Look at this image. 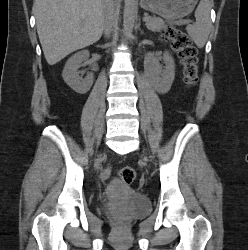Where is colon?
Instances as JSON below:
<instances>
[{"label":"colon","mask_w":248,"mask_h":250,"mask_svg":"<svg viewBox=\"0 0 248 250\" xmlns=\"http://www.w3.org/2000/svg\"><path fill=\"white\" fill-rule=\"evenodd\" d=\"M163 39L170 42L179 51L183 65L184 82L192 87L198 80L197 50L190 38L180 29L174 26H167L163 31ZM118 176L124 184L130 185L136 177L133 167L124 166L119 169Z\"/></svg>","instance_id":"obj_1"}]
</instances>
